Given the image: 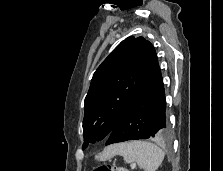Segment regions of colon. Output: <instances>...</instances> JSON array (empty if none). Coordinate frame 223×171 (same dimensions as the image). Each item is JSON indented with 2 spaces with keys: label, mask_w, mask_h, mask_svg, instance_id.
Masks as SVG:
<instances>
[{
  "label": "colon",
  "mask_w": 223,
  "mask_h": 171,
  "mask_svg": "<svg viewBox=\"0 0 223 171\" xmlns=\"http://www.w3.org/2000/svg\"><path fill=\"white\" fill-rule=\"evenodd\" d=\"M94 171H127L123 167H118L115 165H101L97 167Z\"/></svg>",
  "instance_id": "5ec220e1"
}]
</instances>
